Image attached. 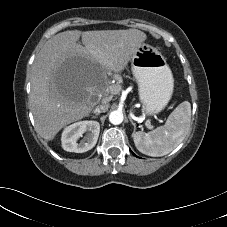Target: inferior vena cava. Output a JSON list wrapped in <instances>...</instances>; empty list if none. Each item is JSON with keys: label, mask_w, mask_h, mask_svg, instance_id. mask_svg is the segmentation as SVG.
I'll list each match as a JSON object with an SVG mask.
<instances>
[{"label": "inferior vena cava", "mask_w": 227, "mask_h": 227, "mask_svg": "<svg viewBox=\"0 0 227 227\" xmlns=\"http://www.w3.org/2000/svg\"><path fill=\"white\" fill-rule=\"evenodd\" d=\"M109 108V104L107 103V100H103L102 104L97 105L94 109V113L99 114L102 112H106Z\"/></svg>", "instance_id": "602c4592"}]
</instances>
